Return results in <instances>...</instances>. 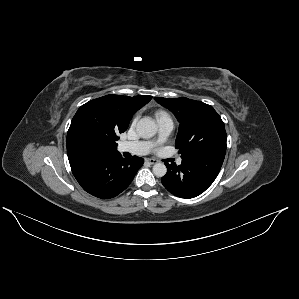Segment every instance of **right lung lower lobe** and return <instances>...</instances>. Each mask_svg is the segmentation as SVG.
Instances as JSON below:
<instances>
[{
    "label": "right lung lower lobe",
    "mask_w": 299,
    "mask_h": 299,
    "mask_svg": "<svg viewBox=\"0 0 299 299\" xmlns=\"http://www.w3.org/2000/svg\"><path fill=\"white\" fill-rule=\"evenodd\" d=\"M73 175L91 195L109 199L124 191L144 160L123 159L118 151H93L69 158Z\"/></svg>",
    "instance_id": "right-lung-lower-lobe-1"
}]
</instances>
